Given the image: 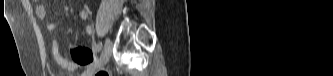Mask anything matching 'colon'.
<instances>
[{"instance_id": "obj_1", "label": "colon", "mask_w": 333, "mask_h": 76, "mask_svg": "<svg viewBox=\"0 0 333 76\" xmlns=\"http://www.w3.org/2000/svg\"><path fill=\"white\" fill-rule=\"evenodd\" d=\"M110 73L107 70H102L97 73V76H109Z\"/></svg>"}]
</instances>
